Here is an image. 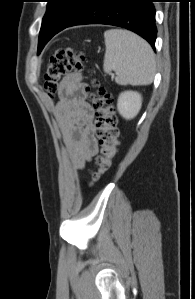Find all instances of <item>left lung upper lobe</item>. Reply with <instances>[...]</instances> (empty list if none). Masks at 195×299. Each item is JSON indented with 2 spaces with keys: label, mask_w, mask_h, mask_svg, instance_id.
Masks as SVG:
<instances>
[{
  "label": "left lung upper lobe",
  "mask_w": 195,
  "mask_h": 299,
  "mask_svg": "<svg viewBox=\"0 0 195 299\" xmlns=\"http://www.w3.org/2000/svg\"><path fill=\"white\" fill-rule=\"evenodd\" d=\"M89 0H48L47 11L43 17L39 34L38 53L49 41V34L61 31L72 23L82 12Z\"/></svg>",
  "instance_id": "1"
}]
</instances>
